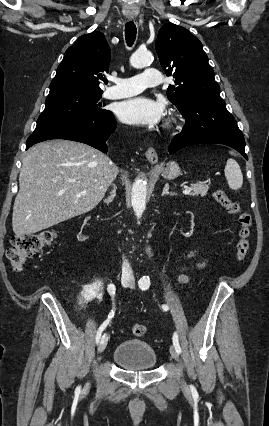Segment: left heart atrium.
<instances>
[{"mask_svg":"<svg viewBox=\"0 0 269 426\" xmlns=\"http://www.w3.org/2000/svg\"><path fill=\"white\" fill-rule=\"evenodd\" d=\"M164 115V106L159 101L147 97H135L120 102L117 116L127 124L136 126H153L159 123Z\"/></svg>","mask_w":269,"mask_h":426,"instance_id":"left-heart-atrium-1","label":"left heart atrium"}]
</instances>
